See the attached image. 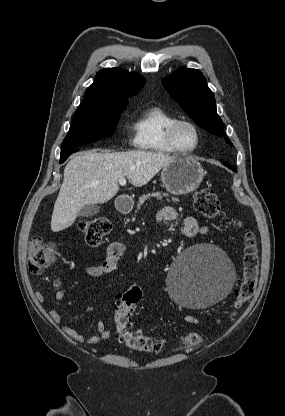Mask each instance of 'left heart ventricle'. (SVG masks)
<instances>
[{"instance_id": "b2bd125f", "label": "left heart ventricle", "mask_w": 285, "mask_h": 416, "mask_svg": "<svg viewBox=\"0 0 285 416\" xmlns=\"http://www.w3.org/2000/svg\"><path fill=\"white\" fill-rule=\"evenodd\" d=\"M177 142L184 149L193 148L196 144L194 131L188 125H181L176 132Z\"/></svg>"}]
</instances>
